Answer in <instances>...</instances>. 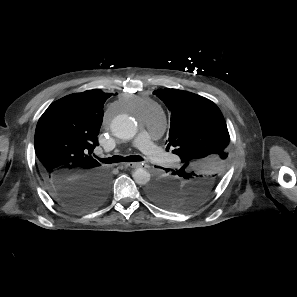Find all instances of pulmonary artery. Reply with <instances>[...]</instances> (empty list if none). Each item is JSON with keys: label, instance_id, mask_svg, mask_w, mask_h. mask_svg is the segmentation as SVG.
<instances>
[{"label": "pulmonary artery", "instance_id": "obj_1", "mask_svg": "<svg viewBox=\"0 0 297 297\" xmlns=\"http://www.w3.org/2000/svg\"><path fill=\"white\" fill-rule=\"evenodd\" d=\"M159 123L147 120L144 128L136 138L135 146L153 163L164 167L171 166L176 160L173 156L163 152L154 142L153 133L161 129Z\"/></svg>", "mask_w": 297, "mask_h": 297}]
</instances>
